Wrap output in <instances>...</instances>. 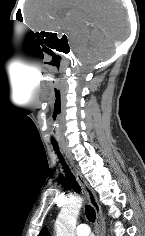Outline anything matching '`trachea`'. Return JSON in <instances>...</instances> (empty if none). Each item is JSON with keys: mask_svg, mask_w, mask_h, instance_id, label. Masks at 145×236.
Here are the masks:
<instances>
[{"mask_svg": "<svg viewBox=\"0 0 145 236\" xmlns=\"http://www.w3.org/2000/svg\"><path fill=\"white\" fill-rule=\"evenodd\" d=\"M52 145H53V148H54L56 154L58 155L59 162L63 165L66 181L68 182L69 186L75 192L79 193L81 191L80 186H79L78 182L76 181L75 176L71 173L68 165L65 163V160L63 159V156L61 155V153L59 151L58 144L55 142H52ZM85 213H86V216L90 222L95 221L96 215H95V210L93 209V207H91L90 205H86Z\"/></svg>", "mask_w": 145, "mask_h": 236, "instance_id": "3493384b", "label": "trachea"}]
</instances>
